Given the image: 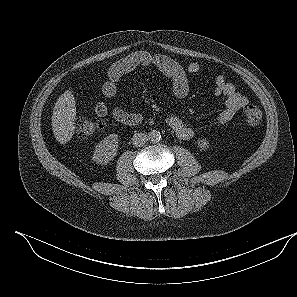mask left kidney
Returning a JSON list of instances; mask_svg holds the SVG:
<instances>
[{"label": "left kidney", "instance_id": "obj_1", "mask_svg": "<svg viewBox=\"0 0 297 297\" xmlns=\"http://www.w3.org/2000/svg\"><path fill=\"white\" fill-rule=\"evenodd\" d=\"M198 146L202 150H206L209 148V142L206 139H200V140H198Z\"/></svg>", "mask_w": 297, "mask_h": 297}]
</instances>
